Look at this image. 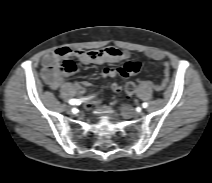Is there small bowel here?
I'll use <instances>...</instances> for the list:
<instances>
[{"label":"small bowel","mask_w":212,"mask_h":183,"mask_svg":"<svg viewBox=\"0 0 212 183\" xmlns=\"http://www.w3.org/2000/svg\"><path fill=\"white\" fill-rule=\"evenodd\" d=\"M147 57L155 60V61H165V55L160 51H148ZM74 57L81 64H104V63H117L123 60H127L130 57V53L128 51H123L115 47H106L100 50H92V51H82V50H72L70 48H60L56 51L49 53L43 58V70L42 77L45 82L52 89H57L63 78L66 77L69 73L59 74L58 68L61 64L68 58ZM142 70V65L139 62H126L124 65L119 67H107L102 71V75L104 77H117L121 76L123 78H127L131 75L138 74ZM169 67L167 63L164 65V76L162 79V83L158 86V89L161 90L165 87L169 80ZM91 83L89 81H83L81 83H77L76 87L79 92L83 93L86 87H89ZM113 89L115 91H119L121 89L118 83H113Z\"/></svg>","instance_id":"1"}]
</instances>
